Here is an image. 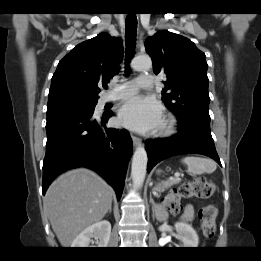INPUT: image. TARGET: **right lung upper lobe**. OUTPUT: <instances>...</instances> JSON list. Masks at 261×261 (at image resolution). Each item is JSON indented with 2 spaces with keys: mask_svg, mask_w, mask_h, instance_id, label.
Listing matches in <instances>:
<instances>
[{
  "mask_svg": "<svg viewBox=\"0 0 261 261\" xmlns=\"http://www.w3.org/2000/svg\"><path fill=\"white\" fill-rule=\"evenodd\" d=\"M123 58L122 40L107 33L75 46L58 63L51 80L48 100L73 96L98 100V84L108 83Z\"/></svg>",
  "mask_w": 261,
  "mask_h": 261,
  "instance_id": "cb5924a9",
  "label": "right lung upper lobe"
}]
</instances>
